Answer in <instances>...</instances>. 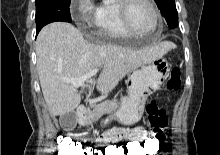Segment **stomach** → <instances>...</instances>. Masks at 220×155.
Returning a JSON list of instances; mask_svg holds the SVG:
<instances>
[{
    "label": "stomach",
    "instance_id": "1",
    "mask_svg": "<svg viewBox=\"0 0 220 155\" xmlns=\"http://www.w3.org/2000/svg\"><path fill=\"white\" fill-rule=\"evenodd\" d=\"M169 67L168 60L160 57L134 69L129 76L128 96L122 99L121 106L113 117L124 125L138 122L148 97L157 92L167 79Z\"/></svg>",
    "mask_w": 220,
    "mask_h": 155
}]
</instances>
